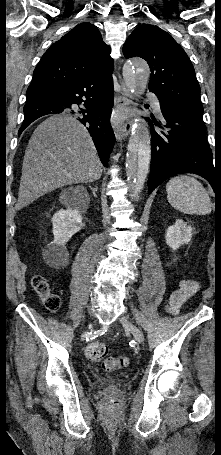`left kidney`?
<instances>
[{"instance_id":"5707ae66","label":"left kidney","mask_w":221,"mask_h":455,"mask_svg":"<svg viewBox=\"0 0 221 455\" xmlns=\"http://www.w3.org/2000/svg\"><path fill=\"white\" fill-rule=\"evenodd\" d=\"M192 227L183 220H176L175 224L167 228L165 240L173 250L178 249L182 244H188L192 238Z\"/></svg>"}]
</instances>
